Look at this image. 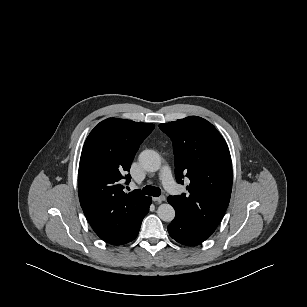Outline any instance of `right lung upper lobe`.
<instances>
[{"label":"right lung upper lobe","instance_id":"obj_1","mask_svg":"<svg viewBox=\"0 0 307 307\" xmlns=\"http://www.w3.org/2000/svg\"><path fill=\"white\" fill-rule=\"evenodd\" d=\"M155 128L150 123L108 118L87 137L78 172L79 200L95 233L122 245L136 238L149 211L150 197L139 190L125 194L122 180L130 181L134 156Z\"/></svg>","mask_w":307,"mask_h":307}]
</instances>
